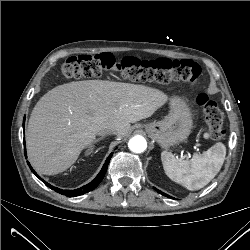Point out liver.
Wrapping results in <instances>:
<instances>
[{"instance_id": "obj_1", "label": "liver", "mask_w": 250, "mask_h": 250, "mask_svg": "<svg viewBox=\"0 0 250 250\" xmlns=\"http://www.w3.org/2000/svg\"><path fill=\"white\" fill-rule=\"evenodd\" d=\"M167 95L143 85L104 80L59 85L37 102L26 131L28 157L41 174L66 171L99 131L113 127L118 138L130 123L152 116Z\"/></svg>"}]
</instances>
